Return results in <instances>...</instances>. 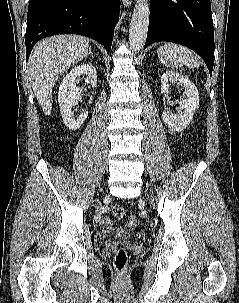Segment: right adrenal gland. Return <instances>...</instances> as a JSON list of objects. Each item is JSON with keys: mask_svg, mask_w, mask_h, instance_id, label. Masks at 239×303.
<instances>
[{"mask_svg": "<svg viewBox=\"0 0 239 303\" xmlns=\"http://www.w3.org/2000/svg\"><path fill=\"white\" fill-rule=\"evenodd\" d=\"M88 55H90V56L93 55V53H92V51H91V48H89V53H88ZM87 57H88V56H87Z\"/></svg>", "mask_w": 239, "mask_h": 303, "instance_id": "obj_1", "label": "right adrenal gland"}]
</instances>
